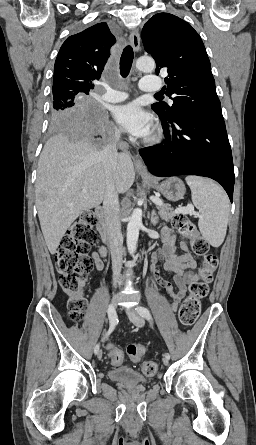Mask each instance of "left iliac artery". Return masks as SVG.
Returning <instances> with one entry per match:
<instances>
[{"label":"left iliac artery","instance_id":"1","mask_svg":"<svg viewBox=\"0 0 256 445\" xmlns=\"http://www.w3.org/2000/svg\"><path fill=\"white\" fill-rule=\"evenodd\" d=\"M139 314L144 317L145 319H147L148 321L152 320L150 311L146 308V307H138L137 308ZM165 357H167L168 359H170V355L169 353H165Z\"/></svg>","mask_w":256,"mask_h":445}]
</instances>
